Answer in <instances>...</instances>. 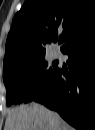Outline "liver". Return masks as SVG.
Returning a JSON list of instances; mask_svg holds the SVG:
<instances>
[{
  "label": "liver",
  "mask_w": 95,
  "mask_h": 130,
  "mask_svg": "<svg viewBox=\"0 0 95 130\" xmlns=\"http://www.w3.org/2000/svg\"><path fill=\"white\" fill-rule=\"evenodd\" d=\"M4 130H73L57 112L31 103L10 110Z\"/></svg>",
  "instance_id": "liver-1"
}]
</instances>
